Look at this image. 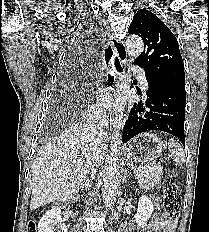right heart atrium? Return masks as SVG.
I'll return each instance as SVG.
<instances>
[{
  "mask_svg": "<svg viewBox=\"0 0 209 232\" xmlns=\"http://www.w3.org/2000/svg\"><path fill=\"white\" fill-rule=\"evenodd\" d=\"M84 119L88 123H99L102 120V113L96 106L91 105L86 109Z\"/></svg>",
  "mask_w": 209,
  "mask_h": 232,
  "instance_id": "d8ad5b80",
  "label": "right heart atrium"
}]
</instances>
